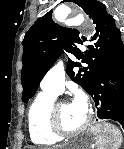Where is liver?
I'll list each match as a JSON object with an SVG mask.
<instances>
[{"instance_id":"6515ba94","label":"liver","mask_w":124,"mask_h":149,"mask_svg":"<svg viewBox=\"0 0 124 149\" xmlns=\"http://www.w3.org/2000/svg\"><path fill=\"white\" fill-rule=\"evenodd\" d=\"M54 149H63V146H57L56 148Z\"/></svg>"}]
</instances>
